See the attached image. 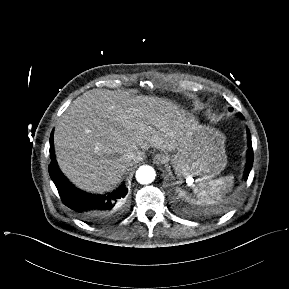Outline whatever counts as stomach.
I'll return each instance as SVG.
<instances>
[{
  "mask_svg": "<svg viewBox=\"0 0 289 289\" xmlns=\"http://www.w3.org/2000/svg\"><path fill=\"white\" fill-rule=\"evenodd\" d=\"M171 164L178 176H198L208 180L219 175L227 164L224 134L192 122L172 155Z\"/></svg>",
  "mask_w": 289,
  "mask_h": 289,
  "instance_id": "1",
  "label": "stomach"
}]
</instances>
